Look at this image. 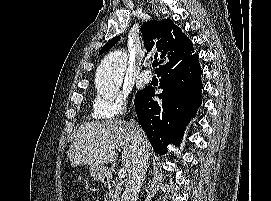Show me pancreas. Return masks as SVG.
<instances>
[{
	"mask_svg": "<svg viewBox=\"0 0 271 201\" xmlns=\"http://www.w3.org/2000/svg\"><path fill=\"white\" fill-rule=\"evenodd\" d=\"M109 197L108 201H120L121 196V186L117 183L114 189L109 190L107 195Z\"/></svg>",
	"mask_w": 271,
	"mask_h": 201,
	"instance_id": "obj_1",
	"label": "pancreas"
}]
</instances>
